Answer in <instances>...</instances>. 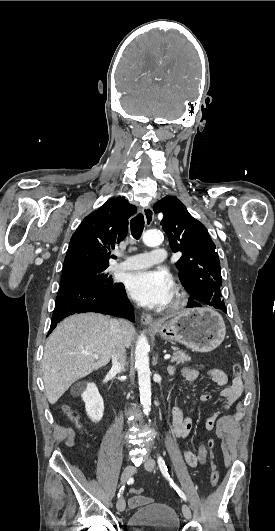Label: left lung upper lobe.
I'll use <instances>...</instances> for the list:
<instances>
[{
	"mask_svg": "<svg viewBox=\"0 0 275 531\" xmlns=\"http://www.w3.org/2000/svg\"><path fill=\"white\" fill-rule=\"evenodd\" d=\"M163 213L161 225L173 252H181L176 262L179 278L190 294L188 307L201 306V301L226 312L221 294V269L218 253L205 226L187 211L176 197L166 196L154 207Z\"/></svg>",
	"mask_w": 275,
	"mask_h": 531,
	"instance_id": "1",
	"label": "left lung upper lobe"
}]
</instances>
